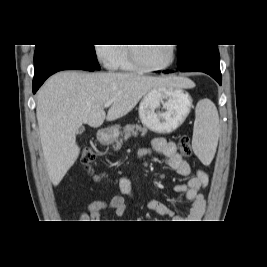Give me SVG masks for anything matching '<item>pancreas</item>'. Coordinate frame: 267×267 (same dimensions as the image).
<instances>
[{"instance_id": "obj_1", "label": "pancreas", "mask_w": 267, "mask_h": 267, "mask_svg": "<svg viewBox=\"0 0 267 267\" xmlns=\"http://www.w3.org/2000/svg\"><path fill=\"white\" fill-rule=\"evenodd\" d=\"M138 132H141L142 135L147 133V129L141 127L140 125H126L123 129V139L116 141V144L113 146L114 150H119L122 146L123 140H127L131 136H137Z\"/></svg>"}]
</instances>
